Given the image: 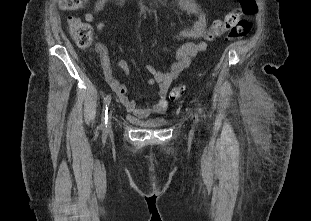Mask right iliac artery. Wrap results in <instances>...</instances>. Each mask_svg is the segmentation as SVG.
<instances>
[{
	"label": "right iliac artery",
	"instance_id": "right-iliac-artery-1",
	"mask_svg": "<svg viewBox=\"0 0 311 221\" xmlns=\"http://www.w3.org/2000/svg\"><path fill=\"white\" fill-rule=\"evenodd\" d=\"M110 102H111V95H107L105 98H104V104H103V112H102V121H101V124H100V129L102 131H106V128H107V119H108V107L110 105Z\"/></svg>",
	"mask_w": 311,
	"mask_h": 221
}]
</instances>
